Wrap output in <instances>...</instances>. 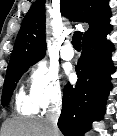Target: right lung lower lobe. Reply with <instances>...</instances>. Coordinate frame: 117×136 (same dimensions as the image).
<instances>
[{"mask_svg": "<svg viewBox=\"0 0 117 136\" xmlns=\"http://www.w3.org/2000/svg\"><path fill=\"white\" fill-rule=\"evenodd\" d=\"M112 26L83 39L82 54L76 66V85L67 84L58 127L65 136H84L94 120L104 114L111 90V61L113 45L106 39Z\"/></svg>", "mask_w": 117, "mask_h": 136, "instance_id": "obj_1", "label": "right lung lower lobe"}]
</instances>
